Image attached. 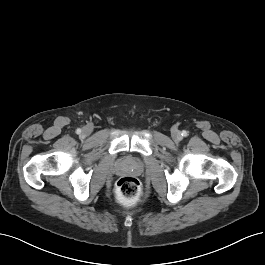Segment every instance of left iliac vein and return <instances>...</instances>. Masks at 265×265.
<instances>
[{"mask_svg": "<svg viewBox=\"0 0 265 265\" xmlns=\"http://www.w3.org/2000/svg\"><path fill=\"white\" fill-rule=\"evenodd\" d=\"M172 138L174 140H180L182 138L181 133L178 130H173L172 131Z\"/></svg>", "mask_w": 265, "mask_h": 265, "instance_id": "1", "label": "left iliac vein"}]
</instances>
